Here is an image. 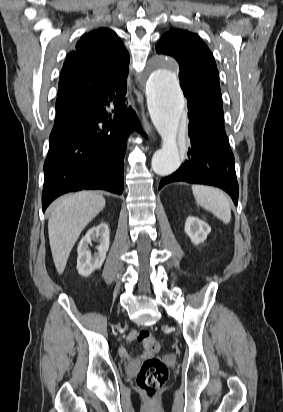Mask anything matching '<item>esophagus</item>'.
<instances>
[{
    "label": "esophagus",
    "instance_id": "34e87169",
    "mask_svg": "<svg viewBox=\"0 0 283 412\" xmlns=\"http://www.w3.org/2000/svg\"><path fill=\"white\" fill-rule=\"evenodd\" d=\"M143 125H144V128H145V131L148 134H152V127H151V125L149 124V122L147 121L146 118H143Z\"/></svg>",
    "mask_w": 283,
    "mask_h": 412
}]
</instances>
